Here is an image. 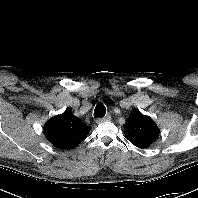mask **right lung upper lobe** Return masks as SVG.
Instances as JSON below:
<instances>
[{"mask_svg":"<svg viewBox=\"0 0 198 198\" xmlns=\"http://www.w3.org/2000/svg\"><path fill=\"white\" fill-rule=\"evenodd\" d=\"M90 128L67 109L45 123L44 132L47 139L60 149L78 146L89 133Z\"/></svg>","mask_w":198,"mask_h":198,"instance_id":"obj_1","label":"right lung upper lobe"}]
</instances>
